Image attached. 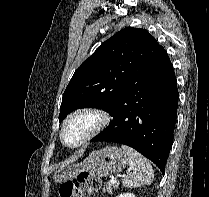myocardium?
<instances>
[{"instance_id":"obj_1","label":"myocardium","mask_w":209,"mask_h":197,"mask_svg":"<svg viewBox=\"0 0 209 197\" xmlns=\"http://www.w3.org/2000/svg\"><path fill=\"white\" fill-rule=\"evenodd\" d=\"M81 115H91L96 119V121L94 125L82 136V138L78 142L74 144H67L64 140V131L74 119H76L78 116ZM110 121H111V115L106 110L93 105L81 106L75 109L74 111H72L64 119L59 131L60 142L62 143V145L70 149L79 148L87 144L89 141H91L101 132H103L106 129V127L109 125Z\"/></svg>"}]
</instances>
